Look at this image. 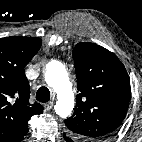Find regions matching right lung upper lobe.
Segmentation results:
<instances>
[{"label":"right lung upper lobe","instance_id":"cb5924a9","mask_svg":"<svg viewBox=\"0 0 142 142\" xmlns=\"http://www.w3.org/2000/svg\"><path fill=\"white\" fill-rule=\"evenodd\" d=\"M34 37L0 39V142H20L28 132V121L43 112L30 104V86L24 68L41 47Z\"/></svg>","mask_w":142,"mask_h":142}]
</instances>
